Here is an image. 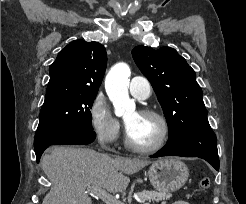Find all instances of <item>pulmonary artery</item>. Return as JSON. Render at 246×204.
I'll list each match as a JSON object with an SVG mask.
<instances>
[{
    "label": "pulmonary artery",
    "instance_id": "1",
    "mask_svg": "<svg viewBox=\"0 0 246 204\" xmlns=\"http://www.w3.org/2000/svg\"><path fill=\"white\" fill-rule=\"evenodd\" d=\"M129 91L134 98L144 100L151 94V85L146 78L136 76L130 81Z\"/></svg>",
    "mask_w": 246,
    "mask_h": 204
}]
</instances>
